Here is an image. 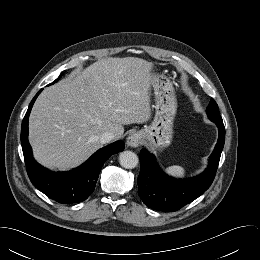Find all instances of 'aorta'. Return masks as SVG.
Wrapping results in <instances>:
<instances>
[{"label": "aorta", "mask_w": 260, "mask_h": 260, "mask_svg": "<svg viewBox=\"0 0 260 260\" xmlns=\"http://www.w3.org/2000/svg\"><path fill=\"white\" fill-rule=\"evenodd\" d=\"M138 156L132 151H123L119 155V163L126 169H133L138 165Z\"/></svg>", "instance_id": "762f6f07"}]
</instances>
